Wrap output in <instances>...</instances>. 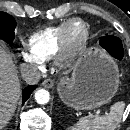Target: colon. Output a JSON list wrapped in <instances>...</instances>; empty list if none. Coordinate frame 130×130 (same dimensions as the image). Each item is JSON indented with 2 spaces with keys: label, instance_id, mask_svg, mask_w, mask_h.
<instances>
[{
  "label": "colon",
  "instance_id": "colon-1",
  "mask_svg": "<svg viewBox=\"0 0 130 130\" xmlns=\"http://www.w3.org/2000/svg\"><path fill=\"white\" fill-rule=\"evenodd\" d=\"M102 47L115 58H121L124 53L122 42L111 34L103 35L101 39Z\"/></svg>",
  "mask_w": 130,
  "mask_h": 130
}]
</instances>
